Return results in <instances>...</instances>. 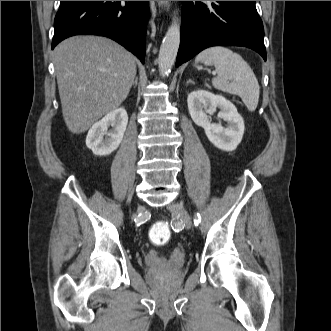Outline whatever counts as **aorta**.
Wrapping results in <instances>:
<instances>
[{
  "label": "aorta",
  "instance_id": "762f6f07",
  "mask_svg": "<svg viewBox=\"0 0 331 331\" xmlns=\"http://www.w3.org/2000/svg\"><path fill=\"white\" fill-rule=\"evenodd\" d=\"M180 45V24L178 18H173L172 24L168 28L158 56V67L161 76L170 73L177 56Z\"/></svg>",
  "mask_w": 331,
  "mask_h": 331
}]
</instances>
